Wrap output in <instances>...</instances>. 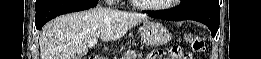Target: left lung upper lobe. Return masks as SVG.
<instances>
[{
	"instance_id": "left-lung-upper-lobe-1",
	"label": "left lung upper lobe",
	"mask_w": 261,
	"mask_h": 59,
	"mask_svg": "<svg viewBox=\"0 0 261 59\" xmlns=\"http://www.w3.org/2000/svg\"><path fill=\"white\" fill-rule=\"evenodd\" d=\"M193 1H198V0H181V5L187 4V3H190ZM206 1H218V0H206Z\"/></svg>"
}]
</instances>
